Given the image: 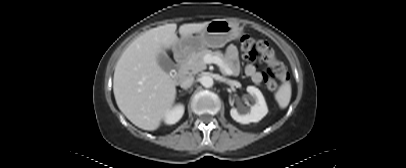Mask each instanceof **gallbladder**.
<instances>
[{"label": "gallbladder", "mask_w": 406, "mask_h": 168, "mask_svg": "<svg viewBox=\"0 0 406 168\" xmlns=\"http://www.w3.org/2000/svg\"><path fill=\"white\" fill-rule=\"evenodd\" d=\"M158 63L160 67L167 73L171 72L175 67L174 62L166 54L159 55Z\"/></svg>", "instance_id": "obj_1"}]
</instances>
